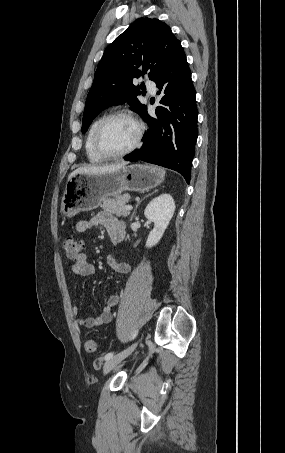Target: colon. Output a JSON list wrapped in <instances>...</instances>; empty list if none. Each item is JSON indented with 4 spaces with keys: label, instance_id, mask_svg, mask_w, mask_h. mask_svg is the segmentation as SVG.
<instances>
[{
    "label": "colon",
    "instance_id": "1",
    "mask_svg": "<svg viewBox=\"0 0 285 453\" xmlns=\"http://www.w3.org/2000/svg\"><path fill=\"white\" fill-rule=\"evenodd\" d=\"M63 248L67 258L75 260L82 254L83 243L77 237L68 235L63 239ZM84 348L88 353H93L96 351L97 346L92 338L86 337L84 340Z\"/></svg>",
    "mask_w": 285,
    "mask_h": 453
}]
</instances>
